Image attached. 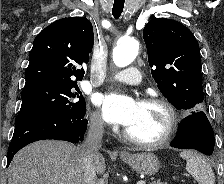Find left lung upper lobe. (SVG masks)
<instances>
[{"mask_svg":"<svg viewBox=\"0 0 224 184\" xmlns=\"http://www.w3.org/2000/svg\"><path fill=\"white\" fill-rule=\"evenodd\" d=\"M152 77L159 90L177 109L194 113L204 100L199 44L178 21L150 20L143 30Z\"/></svg>","mask_w":224,"mask_h":184,"instance_id":"left-lung-upper-lobe-1","label":"left lung upper lobe"}]
</instances>
